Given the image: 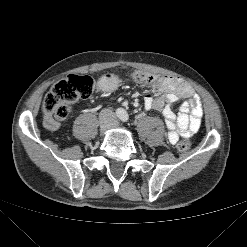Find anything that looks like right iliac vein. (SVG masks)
Here are the masks:
<instances>
[{"instance_id": "obj_1", "label": "right iliac vein", "mask_w": 247, "mask_h": 247, "mask_svg": "<svg viewBox=\"0 0 247 247\" xmlns=\"http://www.w3.org/2000/svg\"><path fill=\"white\" fill-rule=\"evenodd\" d=\"M108 129V125L104 122L100 124V130L101 131H106Z\"/></svg>"}]
</instances>
